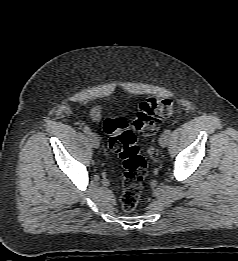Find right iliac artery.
<instances>
[{
  "label": "right iliac artery",
  "instance_id": "1",
  "mask_svg": "<svg viewBox=\"0 0 238 261\" xmlns=\"http://www.w3.org/2000/svg\"><path fill=\"white\" fill-rule=\"evenodd\" d=\"M83 131H84V133H86V134H90L91 133V130H90V128L88 127V126H85L84 128H83Z\"/></svg>",
  "mask_w": 238,
  "mask_h": 261
}]
</instances>
